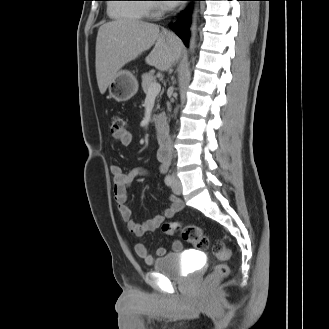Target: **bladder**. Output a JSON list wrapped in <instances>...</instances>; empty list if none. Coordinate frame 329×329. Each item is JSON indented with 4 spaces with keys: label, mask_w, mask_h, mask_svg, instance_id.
<instances>
[{
    "label": "bladder",
    "mask_w": 329,
    "mask_h": 329,
    "mask_svg": "<svg viewBox=\"0 0 329 329\" xmlns=\"http://www.w3.org/2000/svg\"><path fill=\"white\" fill-rule=\"evenodd\" d=\"M152 268L154 271L169 279H181L187 275L183 271L181 254L169 252L154 259Z\"/></svg>",
    "instance_id": "bladder-1"
}]
</instances>
